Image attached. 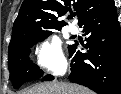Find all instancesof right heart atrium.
Segmentation results:
<instances>
[{
  "instance_id": "right-heart-atrium-1",
  "label": "right heart atrium",
  "mask_w": 121,
  "mask_h": 94,
  "mask_svg": "<svg viewBox=\"0 0 121 94\" xmlns=\"http://www.w3.org/2000/svg\"><path fill=\"white\" fill-rule=\"evenodd\" d=\"M34 58L41 69L53 74H63L67 69V61L62 52L60 41L55 36L42 42L35 49Z\"/></svg>"
}]
</instances>
